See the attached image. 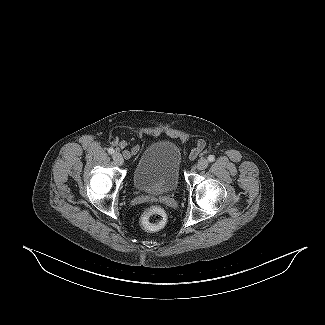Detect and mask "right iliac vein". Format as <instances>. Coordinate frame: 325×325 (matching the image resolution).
I'll return each instance as SVG.
<instances>
[{
    "mask_svg": "<svg viewBox=\"0 0 325 325\" xmlns=\"http://www.w3.org/2000/svg\"><path fill=\"white\" fill-rule=\"evenodd\" d=\"M113 160L115 161L116 164H118L120 166L123 165V163H124L123 156L119 152H115L113 154Z\"/></svg>",
    "mask_w": 325,
    "mask_h": 325,
    "instance_id": "obj_1",
    "label": "right iliac vein"
}]
</instances>
